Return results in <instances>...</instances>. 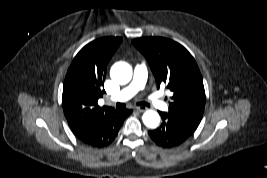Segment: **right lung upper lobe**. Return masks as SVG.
I'll use <instances>...</instances> for the list:
<instances>
[{"label": "right lung upper lobe", "instance_id": "right-lung-upper-lobe-1", "mask_svg": "<svg viewBox=\"0 0 267 178\" xmlns=\"http://www.w3.org/2000/svg\"><path fill=\"white\" fill-rule=\"evenodd\" d=\"M122 42L120 37H103L84 46L73 59L63 85L62 104L65 117L73 131L92 119L113 112L100 107L97 101L102 89L106 67Z\"/></svg>", "mask_w": 267, "mask_h": 178}]
</instances>
